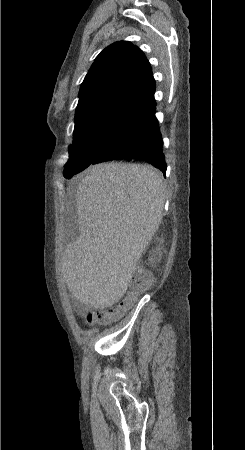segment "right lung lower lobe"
I'll return each instance as SVG.
<instances>
[{
  "label": "right lung lower lobe",
  "mask_w": 245,
  "mask_h": 450,
  "mask_svg": "<svg viewBox=\"0 0 245 450\" xmlns=\"http://www.w3.org/2000/svg\"><path fill=\"white\" fill-rule=\"evenodd\" d=\"M155 106L140 113L131 135L112 151L102 153L92 164L108 160L137 159L159 168L165 175L167 165L162 152V139Z\"/></svg>",
  "instance_id": "right-lung-lower-lobe-1"
}]
</instances>
